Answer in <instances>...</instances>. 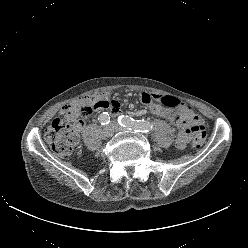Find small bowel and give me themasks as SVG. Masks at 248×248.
I'll list each match as a JSON object with an SVG mask.
<instances>
[{
  "mask_svg": "<svg viewBox=\"0 0 248 248\" xmlns=\"http://www.w3.org/2000/svg\"><path fill=\"white\" fill-rule=\"evenodd\" d=\"M154 96L157 95L142 93L140 95V100L151 113L165 118L172 124L181 128V131L176 138V146L179 149H184L189 143L191 135L194 133V128L200 123L199 117L183 104L176 109L165 107L156 102ZM90 97L94 102L98 103L99 106L97 107V110L109 111L111 114H116L119 110V102L116 99H110L109 93L107 92H100ZM79 103L80 102H75L63 107L60 114L66 115L68 112L74 111ZM144 112L145 110L140 111V113ZM81 125L82 123L79 127Z\"/></svg>",
  "mask_w": 248,
  "mask_h": 248,
  "instance_id": "small-bowel-1",
  "label": "small bowel"
}]
</instances>
